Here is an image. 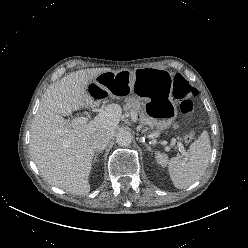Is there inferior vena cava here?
Here are the masks:
<instances>
[{"label": "inferior vena cava", "instance_id": "obj_1", "mask_svg": "<svg viewBox=\"0 0 248 248\" xmlns=\"http://www.w3.org/2000/svg\"><path fill=\"white\" fill-rule=\"evenodd\" d=\"M111 136L107 132H98L92 136L90 144L95 151H101L106 148Z\"/></svg>", "mask_w": 248, "mask_h": 248}]
</instances>
